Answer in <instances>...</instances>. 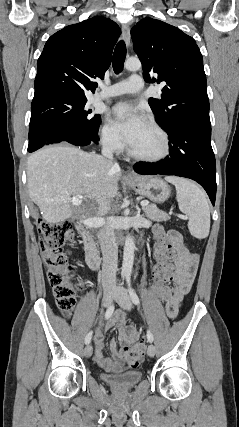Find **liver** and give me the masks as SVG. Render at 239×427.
Listing matches in <instances>:
<instances>
[{"mask_svg": "<svg viewBox=\"0 0 239 427\" xmlns=\"http://www.w3.org/2000/svg\"><path fill=\"white\" fill-rule=\"evenodd\" d=\"M121 170L105 157L61 144L42 148L27 162V186L31 200L48 223L68 218L101 217L111 208L118 191ZM73 197L92 199L97 207L86 212Z\"/></svg>", "mask_w": 239, "mask_h": 427, "instance_id": "liver-1", "label": "liver"}]
</instances>
